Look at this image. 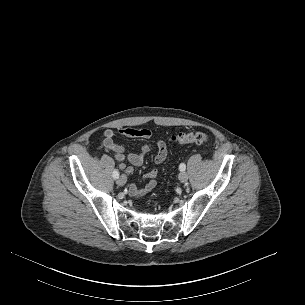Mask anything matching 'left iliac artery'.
Returning <instances> with one entry per match:
<instances>
[{
	"mask_svg": "<svg viewBox=\"0 0 305 305\" xmlns=\"http://www.w3.org/2000/svg\"><path fill=\"white\" fill-rule=\"evenodd\" d=\"M179 169H180V171H185L186 165H185L184 163H181V164L179 165Z\"/></svg>",
	"mask_w": 305,
	"mask_h": 305,
	"instance_id": "left-iliac-artery-1",
	"label": "left iliac artery"
}]
</instances>
